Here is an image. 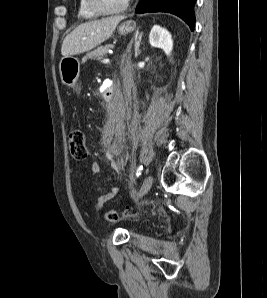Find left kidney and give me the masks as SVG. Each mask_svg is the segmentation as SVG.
I'll return each instance as SVG.
<instances>
[{"label": "left kidney", "instance_id": "5707ae66", "mask_svg": "<svg viewBox=\"0 0 267 298\" xmlns=\"http://www.w3.org/2000/svg\"><path fill=\"white\" fill-rule=\"evenodd\" d=\"M149 43L152 47L161 48L169 57L173 50V40L169 31L159 25H154L150 35Z\"/></svg>", "mask_w": 267, "mask_h": 298}]
</instances>
